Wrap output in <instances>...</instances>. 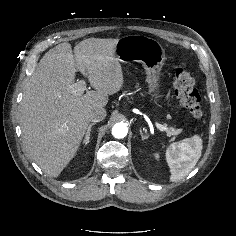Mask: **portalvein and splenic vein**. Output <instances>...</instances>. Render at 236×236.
I'll list each match as a JSON object with an SVG mask.
<instances>
[{
    "mask_svg": "<svg viewBox=\"0 0 236 236\" xmlns=\"http://www.w3.org/2000/svg\"><path fill=\"white\" fill-rule=\"evenodd\" d=\"M86 88V84L84 80H81L77 83L72 84L69 89L71 91V93H73L76 96H82V94L84 93ZM156 127L160 130V131H167L168 128L165 127L164 125H161L159 123H156Z\"/></svg>",
    "mask_w": 236,
    "mask_h": 236,
    "instance_id": "1",
    "label": "portal vein and splenic vein"
}]
</instances>
